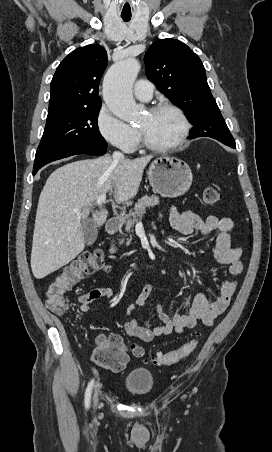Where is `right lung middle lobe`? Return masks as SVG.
<instances>
[{"mask_svg":"<svg viewBox=\"0 0 272 452\" xmlns=\"http://www.w3.org/2000/svg\"><path fill=\"white\" fill-rule=\"evenodd\" d=\"M100 107L65 110L48 114L37 151L62 149L74 145L106 148L97 119Z\"/></svg>","mask_w":272,"mask_h":452,"instance_id":"dd1d6c3e","label":"right lung middle lobe"}]
</instances>
